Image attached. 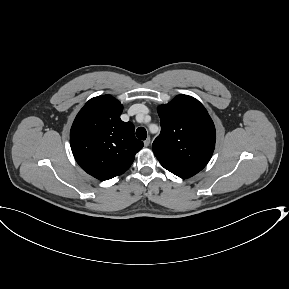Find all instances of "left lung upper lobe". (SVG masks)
I'll use <instances>...</instances> for the list:
<instances>
[{
  "instance_id": "obj_1",
  "label": "left lung upper lobe",
  "mask_w": 289,
  "mask_h": 289,
  "mask_svg": "<svg viewBox=\"0 0 289 289\" xmlns=\"http://www.w3.org/2000/svg\"><path fill=\"white\" fill-rule=\"evenodd\" d=\"M161 133L152 145L161 165L186 179L201 171L215 147V126L204 106L195 98L178 95L158 108Z\"/></svg>"
}]
</instances>
